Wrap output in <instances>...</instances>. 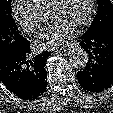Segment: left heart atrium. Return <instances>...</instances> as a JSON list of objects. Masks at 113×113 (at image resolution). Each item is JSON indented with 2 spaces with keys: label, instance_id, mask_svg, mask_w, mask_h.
I'll return each instance as SVG.
<instances>
[{
  "label": "left heart atrium",
  "instance_id": "obj_1",
  "mask_svg": "<svg viewBox=\"0 0 113 113\" xmlns=\"http://www.w3.org/2000/svg\"><path fill=\"white\" fill-rule=\"evenodd\" d=\"M74 32V28L60 21H54L48 24L40 33L36 44L41 49H51L61 45Z\"/></svg>",
  "mask_w": 113,
  "mask_h": 113
}]
</instances>
